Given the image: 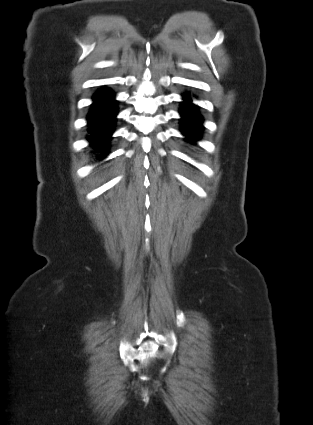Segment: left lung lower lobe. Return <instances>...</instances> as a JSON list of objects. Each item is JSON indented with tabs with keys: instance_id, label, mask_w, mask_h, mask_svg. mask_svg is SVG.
I'll return each mask as SVG.
<instances>
[{
	"instance_id": "1",
	"label": "left lung lower lobe",
	"mask_w": 313,
	"mask_h": 425,
	"mask_svg": "<svg viewBox=\"0 0 313 425\" xmlns=\"http://www.w3.org/2000/svg\"><path fill=\"white\" fill-rule=\"evenodd\" d=\"M184 96V102L180 114L182 116V132L189 140H196L200 138V131L202 129V118L197 111V106L191 103V98L188 93Z\"/></svg>"
}]
</instances>
